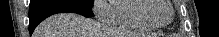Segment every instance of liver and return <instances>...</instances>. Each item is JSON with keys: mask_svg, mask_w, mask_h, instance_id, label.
I'll return each instance as SVG.
<instances>
[{"mask_svg": "<svg viewBox=\"0 0 219 37\" xmlns=\"http://www.w3.org/2000/svg\"><path fill=\"white\" fill-rule=\"evenodd\" d=\"M100 23L75 13H59L42 21L33 37H104ZM116 35V34H115Z\"/></svg>", "mask_w": 219, "mask_h": 37, "instance_id": "obj_1", "label": "liver"}]
</instances>
